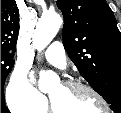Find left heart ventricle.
I'll use <instances>...</instances> for the list:
<instances>
[{
  "mask_svg": "<svg viewBox=\"0 0 121 113\" xmlns=\"http://www.w3.org/2000/svg\"><path fill=\"white\" fill-rule=\"evenodd\" d=\"M49 97L60 113H103L104 111V106L93 94L89 92L75 93L64 88L61 84L51 89Z\"/></svg>",
  "mask_w": 121,
  "mask_h": 113,
  "instance_id": "left-heart-ventricle-1",
  "label": "left heart ventricle"
}]
</instances>
